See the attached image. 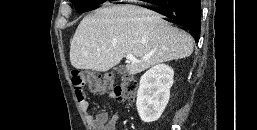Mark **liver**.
Masks as SVG:
<instances>
[{
  "label": "liver",
  "mask_w": 257,
  "mask_h": 130,
  "mask_svg": "<svg viewBox=\"0 0 257 130\" xmlns=\"http://www.w3.org/2000/svg\"><path fill=\"white\" fill-rule=\"evenodd\" d=\"M193 38L151 10L132 6L98 8L82 19L71 40L70 62L76 69L106 72L132 54L126 65L135 75L159 63L189 57Z\"/></svg>",
  "instance_id": "obj_1"
}]
</instances>
